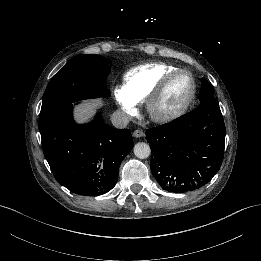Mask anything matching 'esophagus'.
Listing matches in <instances>:
<instances>
[{"mask_svg":"<svg viewBox=\"0 0 261 261\" xmlns=\"http://www.w3.org/2000/svg\"><path fill=\"white\" fill-rule=\"evenodd\" d=\"M133 136L136 137V138L143 137L144 136V132L142 130H140V129H136L133 132Z\"/></svg>","mask_w":261,"mask_h":261,"instance_id":"esophagus-1","label":"esophagus"}]
</instances>
